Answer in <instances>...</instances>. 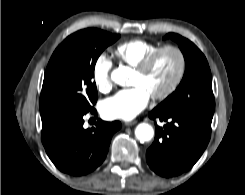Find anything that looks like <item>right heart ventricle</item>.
I'll list each match as a JSON object with an SVG mask.
<instances>
[{
	"instance_id": "1",
	"label": "right heart ventricle",
	"mask_w": 245,
	"mask_h": 195,
	"mask_svg": "<svg viewBox=\"0 0 245 195\" xmlns=\"http://www.w3.org/2000/svg\"><path fill=\"white\" fill-rule=\"evenodd\" d=\"M157 48L159 45L155 43L133 39L119 44L115 48L114 54L122 63L135 68Z\"/></svg>"
}]
</instances>
